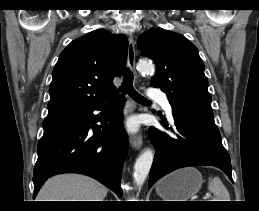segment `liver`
I'll list each match as a JSON object with an SVG mask.
<instances>
[{
  "instance_id": "liver-1",
  "label": "liver",
  "mask_w": 259,
  "mask_h": 211,
  "mask_svg": "<svg viewBox=\"0 0 259 211\" xmlns=\"http://www.w3.org/2000/svg\"><path fill=\"white\" fill-rule=\"evenodd\" d=\"M108 189L98 181L80 174H62L48 179L37 201H103Z\"/></svg>"
}]
</instances>
